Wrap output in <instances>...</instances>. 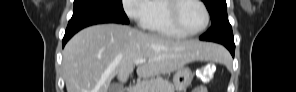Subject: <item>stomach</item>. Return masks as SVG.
I'll return each instance as SVG.
<instances>
[{"mask_svg": "<svg viewBox=\"0 0 296 92\" xmlns=\"http://www.w3.org/2000/svg\"><path fill=\"white\" fill-rule=\"evenodd\" d=\"M193 80V73L188 67L176 70L173 78V87L176 92H185Z\"/></svg>", "mask_w": 296, "mask_h": 92, "instance_id": "1", "label": "stomach"}]
</instances>
